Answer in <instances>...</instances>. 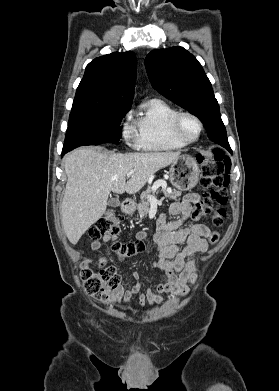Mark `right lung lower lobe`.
Segmentation results:
<instances>
[{
    "mask_svg": "<svg viewBox=\"0 0 279 391\" xmlns=\"http://www.w3.org/2000/svg\"><path fill=\"white\" fill-rule=\"evenodd\" d=\"M68 151L62 150V155L66 154Z\"/></svg>",
    "mask_w": 279,
    "mask_h": 391,
    "instance_id": "98d812e1",
    "label": "right lung lower lobe"
}]
</instances>
